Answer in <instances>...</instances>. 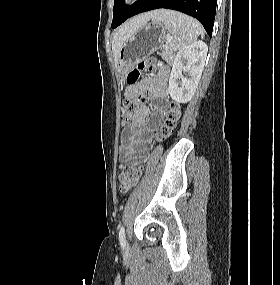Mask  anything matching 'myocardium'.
<instances>
[{"mask_svg": "<svg viewBox=\"0 0 280 285\" xmlns=\"http://www.w3.org/2000/svg\"><path fill=\"white\" fill-rule=\"evenodd\" d=\"M136 1L137 0H122L120 2H121L122 6H129V5H132L133 3H135Z\"/></svg>", "mask_w": 280, "mask_h": 285, "instance_id": "myocardium-1", "label": "myocardium"}]
</instances>
